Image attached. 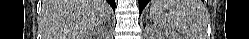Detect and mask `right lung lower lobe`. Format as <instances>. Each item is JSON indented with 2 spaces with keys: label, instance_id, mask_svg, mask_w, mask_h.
I'll list each match as a JSON object with an SVG mask.
<instances>
[{
  "label": "right lung lower lobe",
  "instance_id": "98d812e1",
  "mask_svg": "<svg viewBox=\"0 0 249 39\" xmlns=\"http://www.w3.org/2000/svg\"><path fill=\"white\" fill-rule=\"evenodd\" d=\"M115 12V0H107Z\"/></svg>",
  "mask_w": 249,
  "mask_h": 39
}]
</instances>
